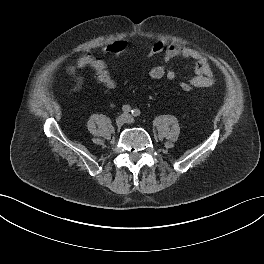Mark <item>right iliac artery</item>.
Here are the masks:
<instances>
[{"mask_svg":"<svg viewBox=\"0 0 264 264\" xmlns=\"http://www.w3.org/2000/svg\"><path fill=\"white\" fill-rule=\"evenodd\" d=\"M122 110L124 113H129L131 111V107L129 105H124Z\"/></svg>","mask_w":264,"mask_h":264,"instance_id":"right-iliac-artery-1","label":"right iliac artery"}]
</instances>
